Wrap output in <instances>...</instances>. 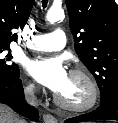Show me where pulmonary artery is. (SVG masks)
Masks as SVG:
<instances>
[{
    "label": "pulmonary artery",
    "mask_w": 118,
    "mask_h": 123,
    "mask_svg": "<svg viewBox=\"0 0 118 123\" xmlns=\"http://www.w3.org/2000/svg\"><path fill=\"white\" fill-rule=\"evenodd\" d=\"M65 44L66 34L59 28L49 34L33 35L27 47L38 51H57L61 50Z\"/></svg>",
    "instance_id": "obj_1"
}]
</instances>
